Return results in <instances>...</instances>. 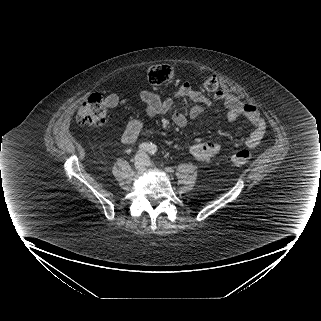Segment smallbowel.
<instances>
[{"instance_id": "obj_1", "label": "small bowel", "mask_w": 321, "mask_h": 321, "mask_svg": "<svg viewBox=\"0 0 321 321\" xmlns=\"http://www.w3.org/2000/svg\"><path fill=\"white\" fill-rule=\"evenodd\" d=\"M141 98L145 103L148 117H154L158 114L168 112L174 106L175 102L181 98H188L193 101L194 105L190 108L188 115L181 112H175L172 115L173 123L181 128L186 126L188 118H198L206 106H210L213 102H222L227 110L226 118L228 121H233L243 116L251 126L250 130L231 142L230 145L232 148L241 146L255 148L261 143L265 133L266 121L256 106L243 103L236 97L221 90L208 96L201 90L193 88L190 83L184 82L171 96L165 99L160 98L153 92H143ZM105 100L110 108L116 107L119 101L115 93L108 94ZM141 129L142 121L140 118L130 120L122 135V143L128 145L135 142L140 135ZM221 148L220 143L207 141L191 145L188 151L195 159L211 163L220 153Z\"/></svg>"}]
</instances>
